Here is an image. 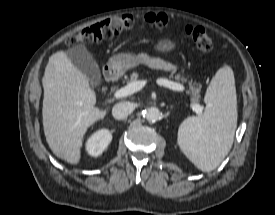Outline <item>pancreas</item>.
Returning <instances> with one entry per match:
<instances>
[{
    "instance_id": "cf45deb5",
    "label": "pancreas",
    "mask_w": 275,
    "mask_h": 215,
    "mask_svg": "<svg viewBox=\"0 0 275 215\" xmlns=\"http://www.w3.org/2000/svg\"><path fill=\"white\" fill-rule=\"evenodd\" d=\"M139 74L138 73H133L130 76V79L128 80V84L133 83L135 81L138 80ZM169 78H173L174 80H176L177 82H181V83H188V90L187 92L189 94H191V106H193L194 104H198L199 100H200V90H201V86L200 85H196L194 83H192L190 80H188V78L184 77L183 75L180 74H170L168 76Z\"/></svg>"
}]
</instances>
